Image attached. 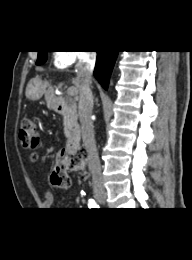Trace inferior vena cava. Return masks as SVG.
<instances>
[{
  "mask_svg": "<svg viewBox=\"0 0 192 260\" xmlns=\"http://www.w3.org/2000/svg\"><path fill=\"white\" fill-rule=\"evenodd\" d=\"M96 61V53L87 51L83 53L76 65L79 80V117L82 128V137L90 152L89 166L92 174L94 188H102L101 165L96 148L94 126L91 119L93 110V95L90 89L91 77Z\"/></svg>",
  "mask_w": 192,
  "mask_h": 260,
  "instance_id": "inferior-vena-cava-1",
  "label": "inferior vena cava"
}]
</instances>
